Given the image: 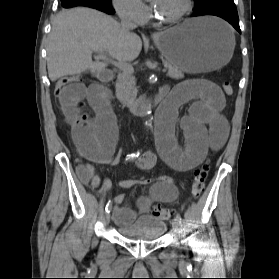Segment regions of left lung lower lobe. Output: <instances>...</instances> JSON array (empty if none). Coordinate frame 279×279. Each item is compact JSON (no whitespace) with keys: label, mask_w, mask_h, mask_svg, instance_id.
I'll return each mask as SVG.
<instances>
[{"label":"left lung lower lobe","mask_w":279,"mask_h":279,"mask_svg":"<svg viewBox=\"0 0 279 279\" xmlns=\"http://www.w3.org/2000/svg\"><path fill=\"white\" fill-rule=\"evenodd\" d=\"M201 15H214L228 21L239 33V18L233 0H205L196 6L192 17Z\"/></svg>","instance_id":"obj_1"}]
</instances>
